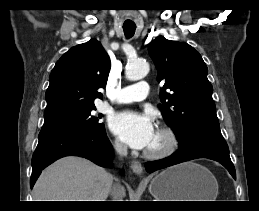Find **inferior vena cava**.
I'll use <instances>...</instances> for the list:
<instances>
[{"label":"inferior vena cava","mask_w":259,"mask_h":211,"mask_svg":"<svg viewBox=\"0 0 259 211\" xmlns=\"http://www.w3.org/2000/svg\"><path fill=\"white\" fill-rule=\"evenodd\" d=\"M115 149L116 151L121 155V156H126L127 155V146L117 142L115 144ZM120 186L119 185H114L112 190H111V194L114 196V198H119V193H120ZM118 201V200H115Z\"/></svg>","instance_id":"1"}]
</instances>
